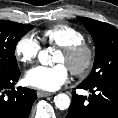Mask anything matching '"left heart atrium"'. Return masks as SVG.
<instances>
[{
	"instance_id": "1",
	"label": "left heart atrium",
	"mask_w": 118,
	"mask_h": 118,
	"mask_svg": "<svg viewBox=\"0 0 118 118\" xmlns=\"http://www.w3.org/2000/svg\"><path fill=\"white\" fill-rule=\"evenodd\" d=\"M68 69L58 63L53 66H36L27 71L26 82L38 89L54 91L68 80Z\"/></svg>"
}]
</instances>
